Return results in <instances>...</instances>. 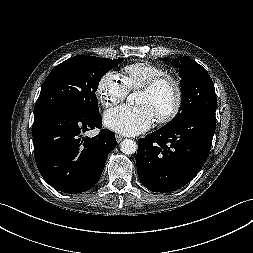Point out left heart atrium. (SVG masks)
Instances as JSON below:
<instances>
[{
    "instance_id": "left-heart-atrium-1",
    "label": "left heart atrium",
    "mask_w": 253,
    "mask_h": 253,
    "mask_svg": "<svg viewBox=\"0 0 253 253\" xmlns=\"http://www.w3.org/2000/svg\"><path fill=\"white\" fill-rule=\"evenodd\" d=\"M155 118L148 105H122L105 113L104 124L117 133L131 136L148 130Z\"/></svg>"
}]
</instances>
